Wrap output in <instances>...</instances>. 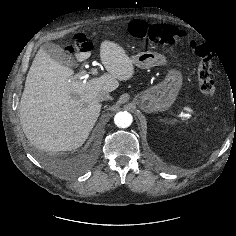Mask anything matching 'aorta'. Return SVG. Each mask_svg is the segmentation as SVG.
<instances>
[{
  "mask_svg": "<svg viewBox=\"0 0 236 236\" xmlns=\"http://www.w3.org/2000/svg\"><path fill=\"white\" fill-rule=\"evenodd\" d=\"M133 117L126 111L118 112L114 117L115 125L119 128H127L132 124Z\"/></svg>",
  "mask_w": 236,
  "mask_h": 236,
  "instance_id": "aorta-1",
  "label": "aorta"
}]
</instances>
